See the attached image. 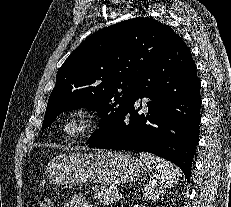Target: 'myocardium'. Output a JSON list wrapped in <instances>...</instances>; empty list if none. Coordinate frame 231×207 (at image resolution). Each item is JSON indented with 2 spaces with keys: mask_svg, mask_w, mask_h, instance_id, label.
<instances>
[{
  "mask_svg": "<svg viewBox=\"0 0 231 207\" xmlns=\"http://www.w3.org/2000/svg\"><path fill=\"white\" fill-rule=\"evenodd\" d=\"M74 124L77 125L76 129L72 128ZM97 125V115L93 110L86 107H77L65 115L61 130L66 138L78 140L92 134L97 128Z\"/></svg>",
  "mask_w": 231,
  "mask_h": 207,
  "instance_id": "myocardium-1",
  "label": "myocardium"
}]
</instances>
